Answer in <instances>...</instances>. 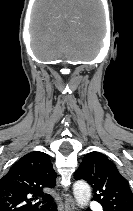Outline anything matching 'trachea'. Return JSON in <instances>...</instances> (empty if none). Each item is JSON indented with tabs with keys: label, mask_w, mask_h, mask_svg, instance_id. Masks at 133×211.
<instances>
[{
	"label": "trachea",
	"mask_w": 133,
	"mask_h": 211,
	"mask_svg": "<svg viewBox=\"0 0 133 211\" xmlns=\"http://www.w3.org/2000/svg\"><path fill=\"white\" fill-rule=\"evenodd\" d=\"M42 208H43V209H47L48 207H46V206H43Z\"/></svg>",
	"instance_id": "obj_1"
}]
</instances>
